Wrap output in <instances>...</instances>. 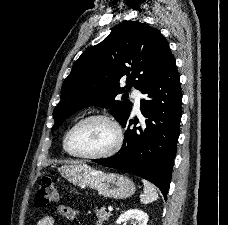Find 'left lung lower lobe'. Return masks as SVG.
<instances>
[{"label": "left lung lower lobe", "instance_id": "0a47b994", "mask_svg": "<svg viewBox=\"0 0 228 225\" xmlns=\"http://www.w3.org/2000/svg\"><path fill=\"white\" fill-rule=\"evenodd\" d=\"M141 91L146 94L140 105L146 118L144 126L126 130L124 144L116 155L93 161L152 182L166 199L182 116L180 78L173 55L158 76ZM132 123L128 117L121 125L126 127Z\"/></svg>", "mask_w": 228, "mask_h": 225}]
</instances>
